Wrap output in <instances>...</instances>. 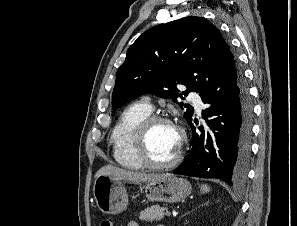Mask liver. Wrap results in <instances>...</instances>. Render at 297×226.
<instances>
[{"label": "liver", "instance_id": "liver-1", "mask_svg": "<svg viewBox=\"0 0 297 226\" xmlns=\"http://www.w3.org/2000/svg\"><path fill=\"white\" fill-rule=\"evenodd\" d=\"M101 175L111 176L117 180H126L139 183L155 181L164 176H167L168 174H146L141 172L128 171L112 165H106L97 171L95 179Z\"/></svg>", "mask_w": 297, "mask_h": 226}]
</instances>
